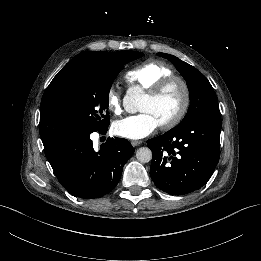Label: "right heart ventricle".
Instances as JSON below:
<instances>
[{"instance_id":"e07e8e85","label":"right heart ventricle","mask_w":261,"mask_h":261,"mask_svg":"<svg viewBox=\"0 0 261 261\" xmlns=\"http://www.w3.org/2000/svg\"><path fill=\"white\" fill-rule=\"evenodd\" d=\"M174 76L172 69L158 60H147L129 70L125 77L134 87L149 92L162 79Z\"/></svg>"}]
</instances>
